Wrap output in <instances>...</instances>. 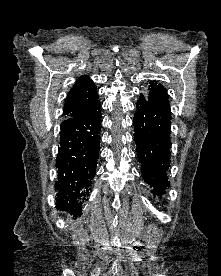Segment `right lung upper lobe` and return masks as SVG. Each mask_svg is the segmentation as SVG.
<instances>
[{"instance_id": "cb5924a9", "label": "right lung upper lobe", "mask_w": 221, "mask_h": 276, "mask_svg": "<svg viewBox=\"0 0 221 276\" xmlns=\"http://www.w3.org/2000/svg\"><path fill=\"white\" fill-rule=\"evenodd\" d=\"M96 86L87 75L79 78L68 93L63 115L65 118L79 117L84 115L98 102Z\"/></svg>"}]
</instances>
